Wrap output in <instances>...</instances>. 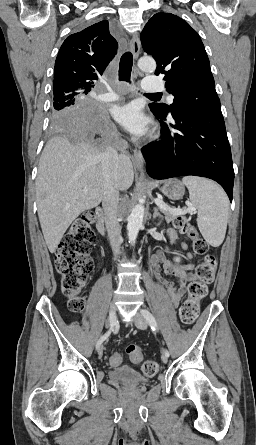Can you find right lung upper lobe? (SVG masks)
<instances>
[{
    "label": "right lung upper lobe",
    "mask_w": 256,
    "mask_h": 445,
    "mask_svg": "<svg viewBox=\"0 0 256 445\" xmlns=\"http://www.w3.org/2000/svg\"><path fill=\"white\" fill-rule=\"evenodd\" d=\"M117 47L107 20L67 37L55 61L54 95L71 91L89 93L94 80H98L114 58Z\"/></svg>",
    "instance_id": "obj_1"
}]
</instances>
